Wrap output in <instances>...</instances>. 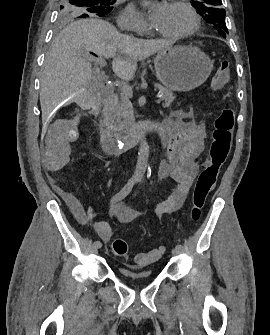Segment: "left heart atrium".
Masks as SVG:
<instances>
[{"instance_id": "left-heart-atrium-1", "label": "left heart atrium", "mask_w": 270, "mask_h": 335, "mask_svg": "<svg viewBox=\"0 0 270 335\" xmlns=\"http://www.w3.org/2000/svg\"><path fill=\"white\" fill-rule=\"evenodd\" d=\"M148 6L149 4L146 3ZM152 13L150 15V22L156 31L165 32L167 21L171 13L172 7L167 5L151 6Z\"/></svg>"}]
</instances>
